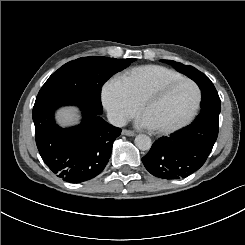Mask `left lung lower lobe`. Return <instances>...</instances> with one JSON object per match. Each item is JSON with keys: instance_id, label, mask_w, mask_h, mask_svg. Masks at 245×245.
Listing matches in <instances>:
<instances>
[{"instance_id": "1", "label": "left lung lower lobe", "mask_w": 245, "mask_h": 245, "mask_svg": "<svg viewBox=\"0 0 245 245\" xmlns=\"http://www.w3.org/2000/svg\"><path fill=\"white\" fill-rule=\"evenodd\" d=\"M197 84L202 93L200 115L182 131L157 140L142 158L146 169L158 178L174 180L194 173L205 163L217 139L220 98L209 78Z\"/></svg>"}]
</instances>
